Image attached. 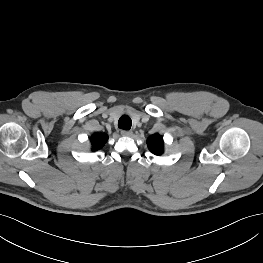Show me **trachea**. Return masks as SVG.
<instances>
[{
  "instance_id": "1",
  "label": "trachea",
  "mask_w": 263,
  "mask_h": 263,
  "mask_svg": "<svg viewBox=\"0 0 263 263\" xmlns=\"http://www.w3.org/2000/svg\"><path fill=\"white\" fill-rule=\"evenodd\" d=\"M132 125V120L129 116L123 115L119 118L118 127L124 130H129Z\"/></svg>"
}]
</instances>
